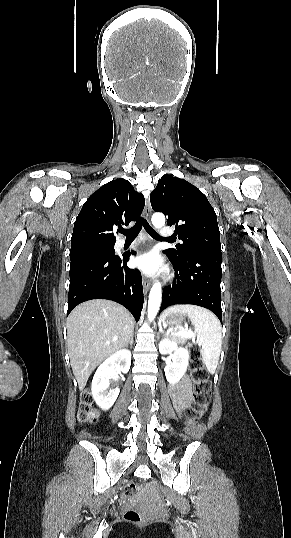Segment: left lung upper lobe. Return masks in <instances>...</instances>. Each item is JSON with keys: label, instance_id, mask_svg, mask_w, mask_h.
Here are the masks:
<instances>
[{"label": "left lung upper lobe", "instance_id": "left-lung-upper-lobe-1", "mask_svg": "<svg viewBox=\"0 0 291 538\" xmlns=\"http://www.w3.org/2000/svg\"><path fill=\"white\" fill-rule=\"evenodd\" d=\"M154 211L167 215L183 243L165 250L173 260L195 251L221 253L220 232L214 209L206 196L184 179L164 175L150 195Z\"/></svg>", "mask_w": 291, "mask_h": 538}]
</instances>
